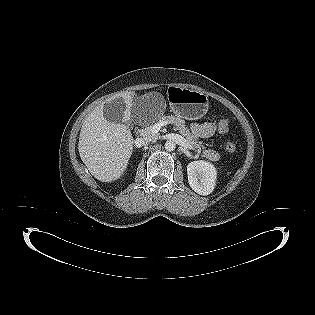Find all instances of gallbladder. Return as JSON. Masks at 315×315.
I'll return each mask as SVG.
<instances>
[{
  "label": "gallbladder",
  "instance_id": "bac80fb5",
  "mask_svg": "<svg viewBox=\"0 0 315 315\" xmlns=\"http://www.w3.org/2000/svg\"><path fill=\"white\" fill-rule=\"evenodd\" d=\"M125 111V103L123 99L118 98L110 102H106L103 107V116L109 122H123Z\"/></svg>",
  "mask_w": 315,
  "mask_h": 315
}]
</instances>
